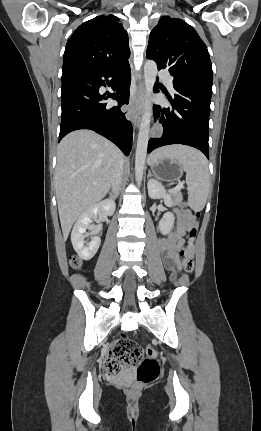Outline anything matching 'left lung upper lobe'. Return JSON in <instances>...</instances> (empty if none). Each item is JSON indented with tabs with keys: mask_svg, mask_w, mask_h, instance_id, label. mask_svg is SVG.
Segmentation results:
<instances>
[{
	"mask_svg": "<svg viewBox=\"0 0 261 431\" xmlns=\"http://www.w3.org/2000/svg\"><path fill=\"white\" fill-rule=\"evenodd\" d=\"M147 58L158 69H169L173 82L212 88L213 72L206 45L193 27L181 19L163 16L151 31Z\"/></svg>",
	"mask_w": 261,
	"mask_h": 431,
	"instance_id": "1",
	"label": "left lung upper lobe"
}]
</instances>
